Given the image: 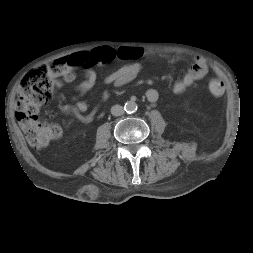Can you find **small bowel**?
I'll return each instance as SVG.
<instances>
[{"mask_svg":"<svg viewBox=\"0 0 253 253\" xmlns=\"http://www.w3.org/2000/svg\"><path fill=\"white\" fill-rule=\"evenodd\" d=\"M144 54L145 50L139 47H119L115 49L101 46L91 51L76 52L65 57L70 62V69L62 76L64 82L72 84L76 81V69L83 71V79L76 84L77 96L73 98L72 104H61L59 106L60 110L63 113L74 115L83 122H90L94 118L96 110L89 111V105L82 98L96 84V67L108 64L116 59L126 61L124 65L109 73L103 79L105 85L121 87L136 79L142 68L140 58ZM207 72V62L200 56H194L193 62L187 71L173 83L172 92L175 94L184 92L187 87L205 77ZM57 85L61 86L62 82L58 81ZM146 98L150 102H156L159 98V92L151 88L146 91Z\"/></svg>","mask_w":253,"mask_h":253,"instance_id":"small-bowel-1","label":"small bowel"}]
</instances>
